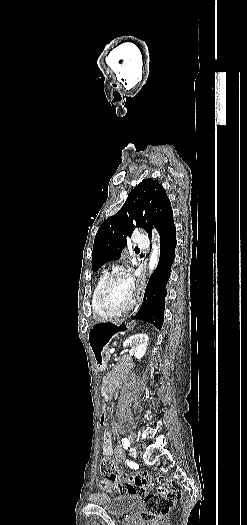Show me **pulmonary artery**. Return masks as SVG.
<instances>
[{"label":"pulmonary artery","instance_id":"pulmonary-artery-1","mask_svg":"<svg viewBox=\"0 0 247 525\" xmlns=\"http://www.w3.org/2000/svg\"><path fill=\"white\" fill-rule=\"evenodd\" d=\"M132 245H139L143 248L148 247V238L147 236H132L131 238Z\"/></svg>","mask_w":247,"mask_h":525}]
</instances>
